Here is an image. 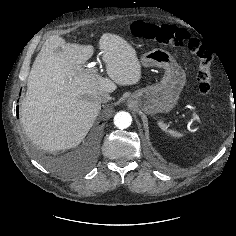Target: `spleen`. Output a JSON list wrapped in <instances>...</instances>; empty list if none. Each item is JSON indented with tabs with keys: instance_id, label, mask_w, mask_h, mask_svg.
Here are the masks:
<instances>
[{
	"instance_id": "1",
	"label": "spleen",
	"mask_w": 236,
	"mask_h": 236,
	"mask_svg": "<svg viewBox=\"0 0 236 236\" xmlns=\"http://www.w3.org/2000/svg\"><path fill=\"white\" fill-rule=\"evenodd\" d=\"M158 126L166 133H168L170 136L172 137H175V138H181L183 137V134L178 132V131H175L173 129H168V126L162 122V121H159L158 122Z\"/></svg>"
}]
</instances>
